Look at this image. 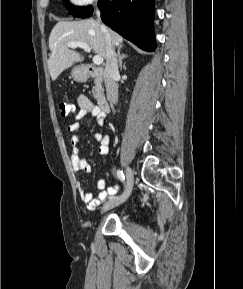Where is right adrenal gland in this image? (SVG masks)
Masks as SVG:
<instances>
[{
	"label": "right adrenal gland",
	"instance_id": "right-adrenal-gland-1",
	"mask_svg": "<svg viewBox=\"0 0 243 289\" xmlns=\"http://www.w3.org/2000/svg\"><path fill=\"white\" fill-rule=\"evenodd\" d=\"M121 49H122V47H119L118 48V53H117L120 70H122L123 59L128 57L126 54H121Z\"/></svg>",
	"mask_w": 243,
	"mask_h": 289
}]
</instances>
